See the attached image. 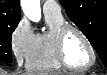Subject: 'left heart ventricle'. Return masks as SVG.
<instances>
[{"label":"left heart ventricle","instance_id":"b2bd125f","mask_svg":"<svg viewBox=\"0 0 107 75\" xmlns=\"http://www.w3.org/2000/svg\"><path fill=\"white\" fill-rule=\"evenodd\" d=\"M65 56L74 66L87 65L91 60L90 51L83 39L75 32H69L64 42Z\"/></svg>","mask_w":107,"mask_h":75}]
</instances>
